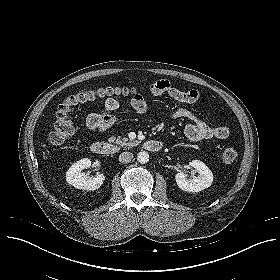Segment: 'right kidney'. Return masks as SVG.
<instances>
[{"label":"right kidney","instance_id":"obj_1","mask_svg":"<svg viewBox=\"0 0 280 280\" xmlns=\"http://www.w3.org/2000/svg\"><path fill=\"white\" fill-rule=\"evenodd\" d=\"M91 160L89 158H83L74 163L66 172V181L68 184L81 190H96L104 182L105 176L98 174L95 177H89L83 173L82 170L90 167Z\"/></svg>","mask_w":280,"mask_h":280}]
</instances>
